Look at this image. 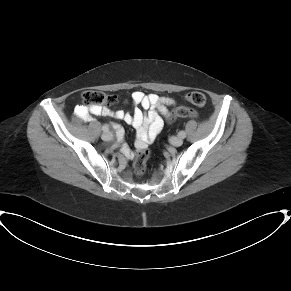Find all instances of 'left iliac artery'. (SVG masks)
I'll return each instance as SVG.
<instances>
[{
	"instance_id": "obj_1",
	"label": "left iliac artery",
	"mask_w": 291,
	"mask_h": 291,
	"mask_svg": "<svg viewBox=\"0 0 291 291\" xmlns=\"http://www.w3.org/2000/svg\"><path fill=\"white\" fill-rule=\"evenodd\" d=\"M178 136H179L180 138H185V137H186V133H185L184 131H180V132L178 133Z\"/></svg>"
}]
</instances>
